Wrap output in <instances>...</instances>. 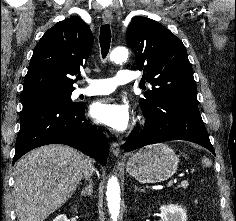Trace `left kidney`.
Masks as SVG:
<instances>
[{"label":"left kidney","mask_w":236,"mask_h":221,"mask_svg":"<svg viewBox=\"0 0 236 221\" xmlns=\"http://www.w3.org/2000/svg\"><path fill=\"white\" fill-rule=\"evenodd\" d=\"M160 211L163 221H187L185 209L177 204L163 205L160 207Z\"/></svg>","instance_id":"5707ae66"}]
</instances>
